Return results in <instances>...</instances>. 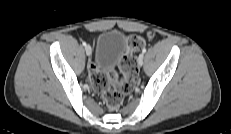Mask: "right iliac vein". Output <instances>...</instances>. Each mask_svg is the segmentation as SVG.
I'll return each instance as SVG.
<instances>
[{"mask_svg": "<svg viewBox=\"0 0 231 134\" xmlns=\"http://www.w3.org/2000/svg\"><path fill=\"white\" fill-rule=\"evenodd\" d=\"M85 51H86V54L88 56H90L92 54V49H91V47L89 45L85 46Z\"/></svg>", "mask_w": 231, "mask_h": 134, "instance_id": "obj_1", "label": "right iliac vein"}]
</instances>
